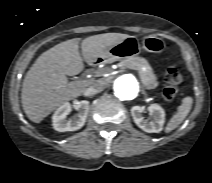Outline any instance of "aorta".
Listing matches in <instances>:
<instances>
[{
	"instance_id": "aorta-1",
	"label": "aorta",
	"mask_w": 212,
	"mask_h": 183,
	"mask_svg": "<svg viewBox=\"0 0 212 183\" xmlns=\"http://www.w3.org/2000/svg\"><path fill=\"white\" fill-rule=\"evenodd\" d=\"M113 88L119 100H131L138 95L140 84L135 76L125 74L115 79Z\"/></svg>"
}]
</instances>
